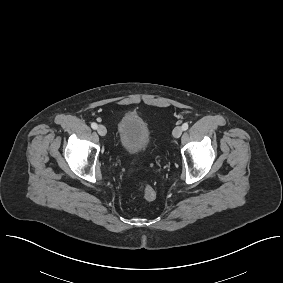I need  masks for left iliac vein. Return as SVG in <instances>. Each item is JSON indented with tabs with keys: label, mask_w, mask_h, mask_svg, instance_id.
Segmentation results:
<instances>
[{
	"label": "left iliac vein",
	"mask_w": 283,
	"mask_h": 283,
	"mask_svg": "<svg viewBox=\"0 0 283 283\" xmlns=\"http://www.w3.org/2000/svg\"><path fill=\"white\" fill-rule=\"evenodd\" d=\"M172 134H173V137L179 138L181 136V134H182V127H180V126L175 127L173 129Z\"/></svg>",
	"instance_id": "obj_1"
}]
</instances>
